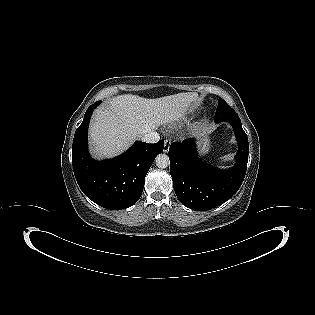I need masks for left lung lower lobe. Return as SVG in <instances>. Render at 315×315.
Instances as JSON below:
<instances>
[{
	"mask_svg": "<svg viewBox=\"0 0 315 315\" xmlns=\"http://www.w3.org/2000/svg\"><path fill=\"white\" fill-rule=\"evenodd\" d=\"M239 144L236 164L226 170L203 163L197 155L194 139L174 142L169 148L170 173L177 198L195 210H208L230 199L245 177L249 144L241 121L230 122Z\"/></svg>",
	"mask_w": 315,
	"mask_h": 315,
	"instance_id": "0a47b994",
	"label": "left lung lower lobe"
}]
</instances>
